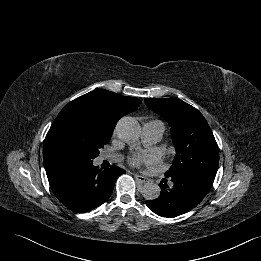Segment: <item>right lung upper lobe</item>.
<instances>
[{
    "label": "right lung upper lobe",
    "mask_w": 261,
    "mask_h": 261,
    "mask_svg": "<svg viewBox=\"0 0 261 261\" xmlns=\"http://www.w3.org/2000/svg\"><path fill=\"white\" fill-rule=\"evenodd\" d=\"M140 103L141 101L137 98L122 96L103 89L91 91L69 102L61 110L52 126L64 113L85 107L92 110L102 121L114 128L122 116L136 110ZM44 165L46 171L53 169L47 164L45 158Z\"/></svg>",
    "instance_id": "1"
}]
</instances>
